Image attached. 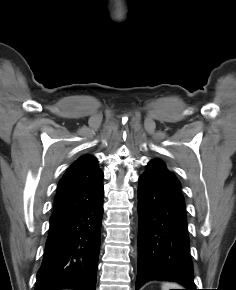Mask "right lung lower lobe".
<instances>
[{"mask_svg":"<svg viewBox=\"0 0 236 290\" xmlns=\"http://www.w3.org/2000/svg\"><path fill=\"white\" fill-rule=\"evenodd\" d=\"M103 195L89 205L50 221L35 290H95Z\"/></svg>","mask_w":236,"mask_h":290,"instance_id":"1","label":"right lung lower lobe"}]
</instances>
